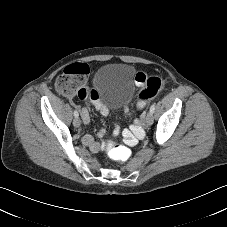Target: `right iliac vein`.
Masks as SVG:
<instances>
[{"label": "right iliac vein", "instance_id": "1", "mask_svg": "<svg viewBox=\"0 0 227 227\" xmlns=\"http://www.w3.org/2000/svg\"><path fill=\"white\" fill-rule=\"evenodd\" d=\"M80 124H81V121H80L79 118H75L73 120V125H74L75 128H78L80 126Z\"/></svg>", "mask_w": 227, "mask_h": 227}]
</instances>
